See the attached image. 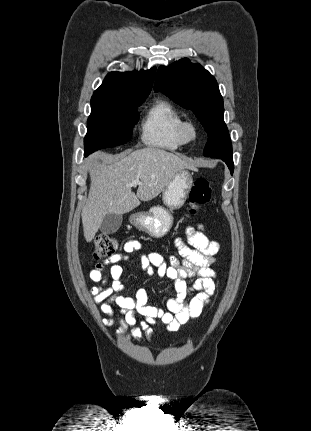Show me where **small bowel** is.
I'll return each instance as SVG.
<instances>
[{
  "instance_id": "c3829d8e",
  "label": "small bowel",
  "mask_w": 311,
  "mask_h": 431,
  "mask_svg": "<svg viewBox=\"0 0 311 431\" xmlns=\"http://www.w3.org/2000/svg\"><path fill=\"white\" fill-rule=\"evenodd\" d=\"M185 233L187 242L181 238L174 242L177 255L182 258L181 263L172 258L171 263L167 264L164 257L156 252H145L140 257L141 268L147 275L167 278L173 284L175 295L167 300L166 310L148 305L147 293L143 288L137 289L134 297L123 295V269L119 262L127 261L131 253L142 248L138 241L126 242L123 253L96 264L89 272V280L100 284L92 287L90 293L94 303L106 315L102 320L103 324H113L114 304L120 308L121 320L115 331L117 336L128 328H132L135 338H140L143 331L149 335L150 327L157 321L164 324L170 332L178 331L191 319L200 316L210 302L216 289L217 276L212 265L217 260L220 245L207 237L202 225L187 227ZM106 265H111L108 275L103 272ZM187 280L193 282L191 286L187 285ZM191 294L193 296L189 298ZM138 318L141 319L139 324Z\"/></svg>"
}]
</instances>
